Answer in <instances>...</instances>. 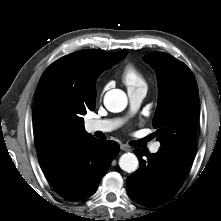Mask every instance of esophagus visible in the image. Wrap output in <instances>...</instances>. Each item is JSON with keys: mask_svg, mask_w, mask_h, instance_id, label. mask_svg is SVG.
<instances>
[{"mask_svg": "<svg viewBox=\"0 0 221 221\" xmlns=\"http://www.w3.org/2000/svg\"><path fill=\"white\" fill-rule=\"evenodd\" d=\"M120 148H121V150L126 151V152L131 151L130 146H128V145H126V144H121V145H120Z\"/></svg>", "mask_w": 221, "mask_h": 221, "instance_id": "esophagus-1", "label": "esophagus"}]
</instances>
